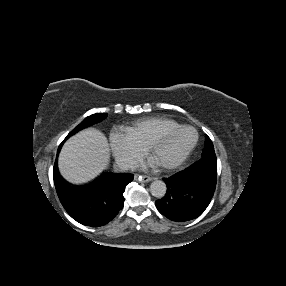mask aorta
Masks as SVG:
<instances>
[{
    "instance_id": "1",
    "label": "aorta",
    "mask_w": 286,
    "mask_h": 286,
    "mask_svg": "<svg viewBox=\"0 0 286 286\" xmlns=\"http://www.w3.org/2000/svg\"><path fill=\"white\" fill-rule=\"evenodd\" d=\"M167 191V186L164 181L155 180L150 185V192L156 198H162L165 196Z\"/></svg>"
}]
</instances>
